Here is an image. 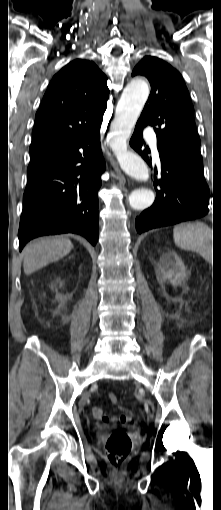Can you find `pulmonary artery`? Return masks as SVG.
<instances>
[{
    "instance_id": "obj_1",
    "label": "pulmonary artery",
    "mask_w": 221,
    "mask_h": 510,
    "mask_svg": "<svg viewBox=\"0 0 221 510\" xmlns=\"http://www.w3.org/2000/svg\"><path fill=\"white\" fill-rule=\"evenodd\" d=\"M145 137L148 140L151 149L153 151V154L155 157H158V149H157V143H156V135L154 131L147 130L145 132Z\"/></svg>"
}]
</instances>
